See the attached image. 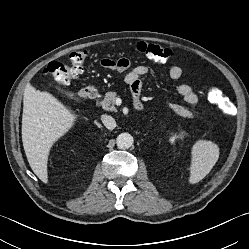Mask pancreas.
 <instances>
[{
    "mask_svg": "<svg viewBox=\"0 0 249 249\" xmlns=\"http://www.w3.org/2000/svg\"><path fill=\"white\" fill-rule=\"evenodd\" d=\"M118 98V95L116 92H107L104 96V99L100 101V105L104 110L107 111H114L116 112L117 109L115 107V101ZM169 107L179 116L181 117H187L192 118L193 114L184 108L183 106L177 105V104H170Z\"/></svg>",
    "mask_w": 249,
    "mask_h": 249,
    "instance_id": "obj_1",
    "label": "pancreas"
}]
</instances>
